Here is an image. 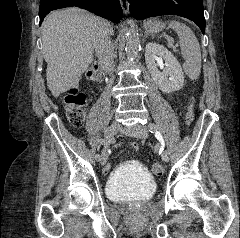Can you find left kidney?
I'll return each mask as SVG.
<instances>
[{
    "label": "left kidney",
    "mask_w": 240,
    "mask_h": 238,
    "mask_svg": "<svg viewBox=\"0 0 240 238\" xmlns=\"http://www.w3.org/2000/svg\"><path fill=\"white\" fill-rule=\"evenodd\" d=\"M165 61V69L159 71L156 61ZM145 61L153 81L164 93L179 91L183 87L184 73L176 57L164 46L149 42L145 48Z\"/></svg>",
    "instance_id": "obj_1"
}]
</instances>
